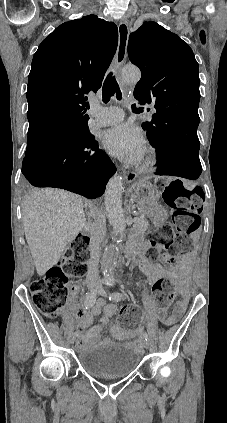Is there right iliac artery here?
Segmentation results:
<instances>
[{
	"instance_id": "1",
	"label": "right iliac artery",
	"mask_w": 227,
	"mask_h": 423,
	"mask_svg": "<svg viewBox=\"0 0 227 423\" xmlns=\"http://www.w3.org/2000/svg\"><path fill=\"white\" fill-rule=\"evenodd\" d=\"M96 302V294L93 292H87L85 295L84 306L86 309H90ZM74 336H78V332L74 333Z\"/></svg>"
}]
</instances>
